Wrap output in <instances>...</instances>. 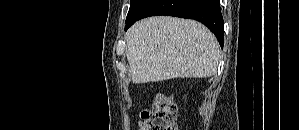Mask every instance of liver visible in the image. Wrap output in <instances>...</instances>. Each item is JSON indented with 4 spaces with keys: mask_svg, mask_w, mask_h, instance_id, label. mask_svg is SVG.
Instances as JSON below:
<instances>
[{
    "mask_svg": "<svg viewBox=\"0 0 299 130\" xmlns=\"http://www.w3.org/2000/svg\"><path fill=\"white\" fill-rule=\"evenodd\" d=\"M129 72L134 83L213 76L220 48L201 23L168 16L136 22L125 35Z\"/></svg>",
    "mask_w": 299,
    "mask_h": 130,
    "instance_id": "obj_1",
    "label": "liver"
}]
</instances>
